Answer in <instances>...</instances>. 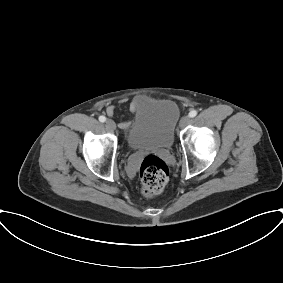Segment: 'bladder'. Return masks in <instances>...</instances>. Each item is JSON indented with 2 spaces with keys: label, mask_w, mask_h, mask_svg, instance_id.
<instances>
[{
  "label": "bladder",
  "mask_w": 283,
  "mask_h": 283,
  "mask_svg": "<svg viewBox=\"0 0 283 283\" xmlns=\"http://www.w3.org/2000/svg\"><path fill=\"white\" fill-rule=\"evenodd\" d=\"M179 119L180 111L173 100L148 101L136 109L126 143L133 150L168 149L173 145Z\"/></svg>",
  "instance_id": "obj_1"
}]
</instances>
